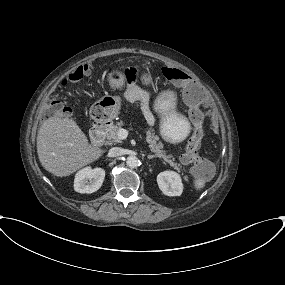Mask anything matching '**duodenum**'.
<instances>
[{
    "label": "duodenum",
    "mask_w": 285,
    "mask_h": 285,
    "mask_svg": "<svg viewBox=\"0 0 285 285\" xmlns=\"http://www.w3.org/2000/svg\"><path fill=\"white\" fill-rule=\"evenodd\" d=\"M106 130V125L93 126L90 132L91 140L96 144L101 143L105 138Z\"/></svg>",
    "instance_id": "1"
}]
</instances>
